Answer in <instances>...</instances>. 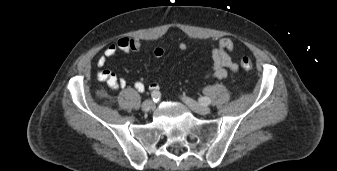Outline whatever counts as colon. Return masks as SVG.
<instances>
[{
  "mask_svg": "<svg viewBox=\"0 0 337 171\" xmlns=\"http://www.w3.org/2000/svg\"><path fill=\"white\" fill-rule=\"evenodd\" d=\"M240 65L245 70H250L253 67V63L251 59L246 56L240 59Z\"/></svg>",
  "mask_w": 337,
  "mask_h": 171,
  "instance_id": "obj_1",
  "label": "colon"
}]
</instances>
